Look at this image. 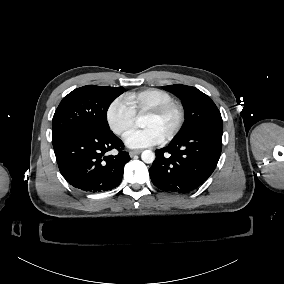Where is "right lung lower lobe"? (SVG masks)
<instances>
[{
  "label": "right lung lower lobe",
  "mask_w": 284,
  "mask_h": 284,
  "mask_svg": "<svg viewBox=\"0 0 284 284\" xmlns=\"http://www.w3.org/2000/svg\"><path fill=\"white\" fill-rule=\"evenodd\" d=\"M52 142L61 174L76 189L100 193L121 183L130 156L111 130H71ZM112 149H117L118 154L106 156Z\"/></svg>",
  "instance_id": "obj_1"
}]
</instances>
